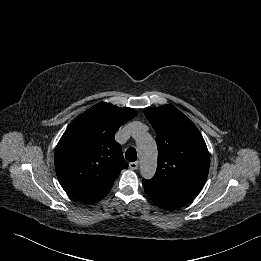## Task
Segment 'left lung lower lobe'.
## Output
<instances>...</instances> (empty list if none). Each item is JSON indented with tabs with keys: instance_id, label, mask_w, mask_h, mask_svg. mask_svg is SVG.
<instances>
[{
	"instance_id": "left-lung-lower-lobe-1",
	"label": "left lung lower lobe",
	"mask_w": 261,
	"mask_h": 261,
	"mask_svg": "<svg viewBox=\"0 0 261 261\" xmlns=\"http://www.w3.org/2000/svg\"><path fill=\"white\" fill-rule=\"evenodd\" d=\"M149 198L160 208L174 209L186 205L194 196L175 190L163 189L143 181Z\"/></svg>"
}]
</instances>
